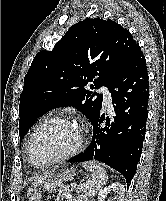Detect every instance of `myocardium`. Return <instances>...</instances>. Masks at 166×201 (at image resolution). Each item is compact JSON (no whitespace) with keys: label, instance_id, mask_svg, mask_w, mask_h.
I'll list each match as a JSON object with an SVG mask.
<instances>
[{"label":"myocardium","instance_id":"obj_1","mask_svg":"<svg viewBox=\"0 0 166 201\" xmlns=\"http://www.w3.org/2000/svg\"><path fill=\"white\" fill-rule=\"evenodd\" d=\"M53 121H70V122L75 123L80 129L79 141H78L77 145L75 146V148L73 150H71L70 152H68L62 156H59L57 158H54L45 164L38 165L34 162L33 155H32V146H33L34 139H35L37 133L39 132V130L44 125H46L50 122H53ZM86 137H87L86 126L84 124L80 123L79 121H77L76 119H74L70 116H67V115H54V116L47 117L36 125V127L34 128L32 134L30 136V139L28 142V148H27V154H28L29 161L34 167H38V168L48 167V166L66 161V160L76 156L82 150L84 143H85V140H86Z\"/></svg>","mask_w":166,"mask_h":201}]
</instances>
